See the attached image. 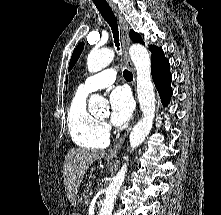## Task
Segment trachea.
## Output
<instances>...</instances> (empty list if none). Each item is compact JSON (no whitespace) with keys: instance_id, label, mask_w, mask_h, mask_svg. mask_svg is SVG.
<instances>
[{"instance_id":"1","label":"trachea","mask_w":221,"mask_h":215,"mask_svg":"<svg viewBox=\"0 0 221 215\" xmlns=\"http://www.w3.org/2000/svg\"><path fill=\"white\" fill-rule=\"evenodd\" d=\"M95 5H96V8L101 13L102 17L104 18V20L111 27L115 45H116L117 49L119 50L120 43H119L118 24H117V20H116V17L114 15L113 11L111 10V8L109 7V5L107 3H104V4L95 3ZM123 76L126 80L133 79L132 73L128 70H124Z\"/></svg>"}]
</instances>
